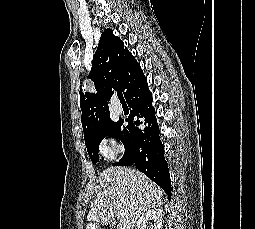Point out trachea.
<instances>
[{
    "label": "trachea",
    "mask_w": 255,
    "mask_h": 229,
    "mask_svg": "<svg viewBox=\"0 0 255 229\" xmlns=\"http://www.w3.org/2000/svg\"><path fill=\"white\" fill-rule=\"evenodd\" d=\"M117 96L121 102H125L122 92H117Z\"/></svg>",
    "instance_id": "trachea-1"
}]
</instances>
